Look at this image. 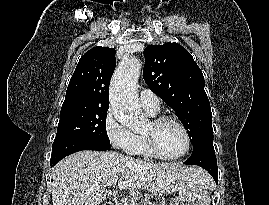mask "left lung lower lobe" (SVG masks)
<instances>
[{
	"mask_svg": "<svg viewBox=\"0 0 269 205\" xmlns=\"http://www.w3.org/2000/svg\"><path fill=\"white\" fill-rule=\"evenodd\" d=\"M188 165H198L207 170L215 182H218L217 160L213 147V137L207 138L194 148L192 155L184 162Z\"/></svg>",
	"mask_w": 269,
	"mask_h": 205,
	"instance_id": "obj_1",
	"label": "left lung lower lobe"
}]
</instances>
